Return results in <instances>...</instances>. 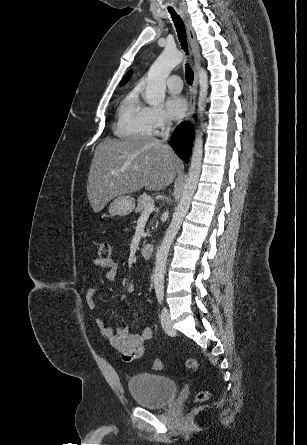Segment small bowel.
I'll return each mask as SVG.
<instances>
[{
    "mask_svg": "<svg viewBox=\"0 0 307 445\" xmlns=\"http://www.w3.org/2000/svg\"><path fill=\"white\" fill-rule=\"evenodd\" d=\"M93 265L106 270V277L113 280L119 269V262L114 259H94ZM97 289L89 286L85 292V300L90 308L94 306ZM96 325L101 330L106 340L116 350L122 353L124 361L130 362L140 359L146 347V342L152 337L150 328H145L142 333H131L127 327L113 329L105 325L101 319L96 320Z\"/></svg>",
    "mask_w": 307,
    "mask_h": 445,
    "instance_id": "c3829d8e",
    "label": "small bowel"
}]
</instances>
